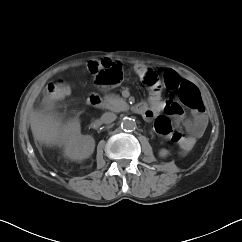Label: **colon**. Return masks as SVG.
I'll return each mask as SVG.
<instances>
[{
	"label": "colon",
	"mask_w": 242,
	"mask_h": 242,
	"mask_svg": "<svg viewBox=\"0 0 242 242\" xmlns=\"http://www.w3.org/2000/svg\"><path fill=\"white\" fill-rule=\"evenodd\" d=\"M89 74L95 76V81L100 86H111L119 83L122 79V69L115 64H107L101 62H90L87 66ZM142 80L144 84L153 92L158 93L160 90V83L157 75L153 71H148ZM165 83L167 88L171 90H178V96L181 102L189 109L201 112L203 109L200 93L196 86L192 83L180 80L172 73L165 75ZM71 91V86L61 80L49 83L44 92V103L53 104ZM154 129L162 136H170L172 134V125L170 120L162 115H157L154 119ZM173 140H176L173 135Z\"/></svg>",
	"instance_id": "colon-1"
}]
</instances>
